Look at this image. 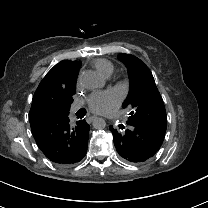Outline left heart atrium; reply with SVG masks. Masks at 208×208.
Segmentation results:
<instances>
[{
	"instance_id": "left-heart-atrium-1",
	"label": "left heart atrium",
	"mask_w": 208,
	"mask_h": 208,
	"mask_svg": "<svg viewBox=\"0 0 208 208\" xmlns=\"http://www.w3.org/2000/svg\"><path fill=\"white\" fill-rule=\"evenodd\" d=\"M87 105L96 114H106L112 106V101L106 95L92 94L87 98Z\"/></svg>"
}]
</instances>
